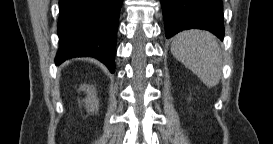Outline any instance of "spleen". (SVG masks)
Masks as SVG:
<instances>
[{"mask_svg": "<svg viewBox=\"0 0 273 144\" xmlns=\"http://www.w3.org/2000/svg\"><path fill=\"white\" fill-rule=\"evenodd\" d=\"M171 52L207 87H214L219 83L222 55L213 34L196 29L183 31L174 37Z\"/></svg>", "mask_w": 273, "mask_h": 144, "instance_id": "spleen-1", "label": "spleen"}]
</instances>
